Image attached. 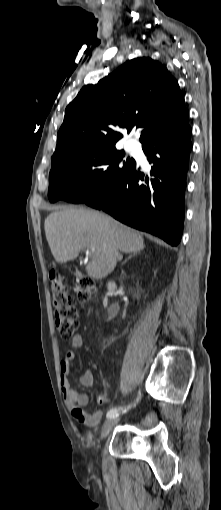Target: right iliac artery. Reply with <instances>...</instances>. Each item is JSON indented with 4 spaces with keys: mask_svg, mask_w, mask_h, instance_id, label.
Here are the masks:
<instances>
[{
    "mask_svg": "<svg viewBox=\"0 0 221 510\" xmlns=\"http://www.w3.org/2000/svg\"><path fill=\"white\" fill-rule=\"evenodd\" d=\"M137 402H138V399H137ZM132 405H129L127 408H113V409H110L108 412H107V415L106 417L107 418H113V417H116L119 415V413H124L126 412L129 408H131Z\"/></svg>",
    "mask_w": 221,
    "mask_h": 510,
    "instance_id": "obj_1",
    "label": "right iliac artery"
}]
</instances>
